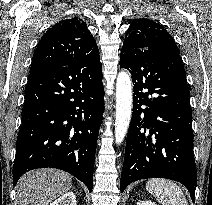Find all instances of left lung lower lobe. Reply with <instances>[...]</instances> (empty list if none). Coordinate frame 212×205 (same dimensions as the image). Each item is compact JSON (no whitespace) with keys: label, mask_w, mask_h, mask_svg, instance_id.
Masks as SVG:
<instances>
[{"label":"left lung lower lobe","mask_w":212,"mask_h":205,"mask_svg":"<svg viewBox=\"0 0 212 205\" xmlns=\"http://www.w3.org/2000/svg\"><path fill=\"white\" fill-rule=\"evenodd\" d=\"M134 83L120 189L145 178L182 183L194 201L197 172L193 156L192 112L186 72L178 52L138 50L125 59Z\"/></svg>","instance_id":"obj_1"}]
</instances>
